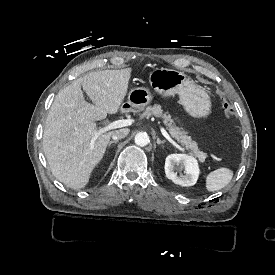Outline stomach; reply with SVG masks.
<instances>
[{
	"label": "stomach",
	"mask_w": 275,
	"mask_h": 275,
	"mask_svg": "<svg viewBox=\"0 0 275 275\" xmlns=\"http://www.w3.org/2000/svg\"><path fill=\"white\" fill-rule=\"evenodd\" d=\"M146 83L163 96L179 95V103L193 117H205L211 112L210 96L191 77L183 72L155 67H148L143 72ZM152 94L145 87H136L128 93L127 102L121 106V111L140 112L152 101Z\"/></svg>",
	"instance_id": "0dacf381"
}]
</instances>
